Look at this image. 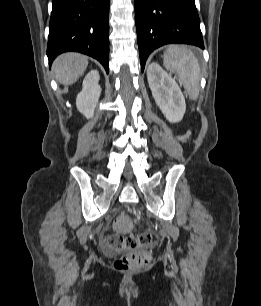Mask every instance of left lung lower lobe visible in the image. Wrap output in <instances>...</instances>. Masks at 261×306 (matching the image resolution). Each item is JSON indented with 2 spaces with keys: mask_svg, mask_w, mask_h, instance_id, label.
<instances>
[{
  "mask_svg": "<svg viewBox=\"0 0 261 306\" xmlns=\"http://www.w3.org/2000/svg\"><path fill=\"white\" fill-rule=\"evenodd\" d=\"M141 70L149 54L171 43L204 48L195 0H135Z\"/></svg>",
  "mask_w": 261,
  "mask_h": 306,
  "instance_id": "1",
  "label": "left lung lower lobe"
}]
</instances>
